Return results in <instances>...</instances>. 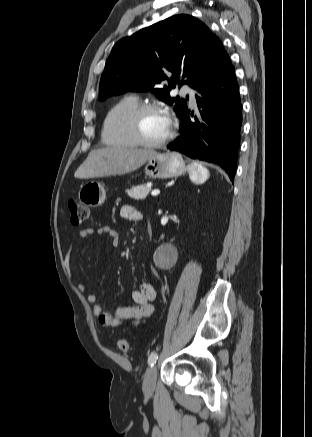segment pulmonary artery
<instances>
[{
    "label": "pulmonary artery",
    "mask_w": 312,
    "mask_h": 437,
    "mask_svg": "<svg viewBox=\"0 0 312 437\" xmlns=\"http://www.w3.org/2000/svg\"><path fill=\"white\" fill-rule=\"evenodd\" d=\"M182 92H183V94L189 96L190 104L192 106H195L196 105L195 91L193 89H191V88H187L186 87V88H183Z\"/></svg>",
    "instance_id": "e3ab8cb5"
}]
</instances>
